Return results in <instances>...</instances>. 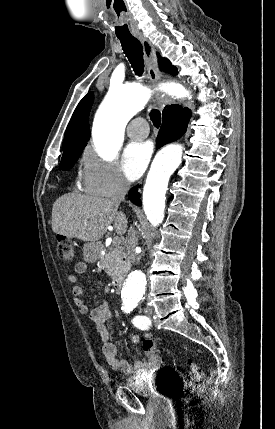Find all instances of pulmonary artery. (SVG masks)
Wrapping results in <instances>:
<instances>
[{
    "instance_id": "obj_1",
    "label": "pulmonary artery",
    "mask_w": 275,
    "mask_h": 429,
    "mask_svg": "<svg viewBox=\"0 0 275 429\" xmlns=\"http://www.w3.org/2000/svg\"><path fill=\"white\" fill-rule=\"evenodd\" d=\"M148 133V124L146 120L141 117L133 119L127 127V134L132 139H144L148 136Z\"/></svg>"
}]
</instances>
